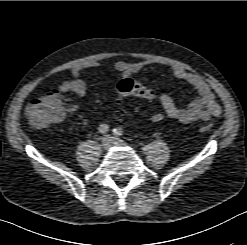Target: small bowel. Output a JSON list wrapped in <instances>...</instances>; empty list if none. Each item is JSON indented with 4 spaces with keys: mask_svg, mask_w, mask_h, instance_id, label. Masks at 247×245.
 Wrapping results in <instances>:
<instances>
[{
    "mask_svg": "<svg viewBox=\"0 0 247 245\" xmlns=\"http://www.w3.org/2000/svg\"><path fill=\"white\" fill-rule=\"evenodd\" d=\"M150 60L140 62L118 61L114 64V69L124 78L130 77L145 67L152 65ZM101 63L98 61H89L76 64L71 68L72 79L63 81L58 88L50 90L46 99H53L61 103V95L64 93H73L80 97L84 96L87 90L86 83L80 78L84 69L98 68ZM172 74L177 79L194 88L198 96L185 107H179L175 101L167 94H156L155 97L162 106V111L153 114L154 121H162L166 118L175 119L183 124H189L199 120H209L212 117L221 114V106L210 85L199 75L186 71L175 66L172 68ZM79 105H70L63 107L64 115L76 112Z\"/></svg>",
    "mask_w": 247,
    "mask_h": 245,
    "instance_id": "1",
    "label": "small bowel"
}]
</instances>
